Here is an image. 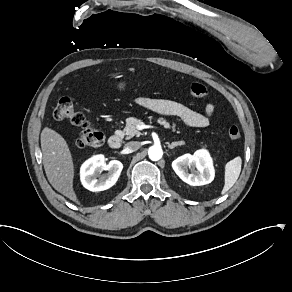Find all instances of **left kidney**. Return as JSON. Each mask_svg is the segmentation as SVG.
Instances as JSON below:
<instances>
[{
    "mask_svg": "<svg viewBox=\"0 0 292 292\" xmlns=\"http://www.w3.org/2000/svg\"><path fill=\"white\" fill-rule=\"evenodd\" d=\"M195 166L197 171L188 172ZM175 173L187 184L201 186L214 180L215 170L213 160L206 149L197 150L193 155L184 154L172 162Z\"/></svg>",
    "mask_w": 292,
    "mask_h": 292,
    "instance_id": "5707ae66",
    "label": "left kidney"
}]
</instances>
